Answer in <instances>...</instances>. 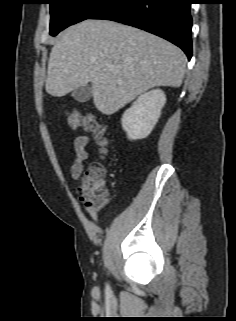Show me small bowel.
I'll return each instance as SVG.
<instances>
[{
  "mask_svg": "<svg viewBox=\"0 0 236 321\" xmlns=\"http://www.w3.org/2000/svg\"><path fill=\"white\" fill-rule=\"evenodd\" d=\"M89 142L90 138L87 135H80L74 139V158L70 165V174L74 180H79L83 174L84 162L89 157L88 152L86 151V146ZM84 208L94 221H98L99 208H92L87 204H84Z\"/></svg>",
  "mask_w": 236,
  "mask_h": 321,
  "instance_id": "small-bowel-1",
  "label": "small bowel"
}]
</instances>
